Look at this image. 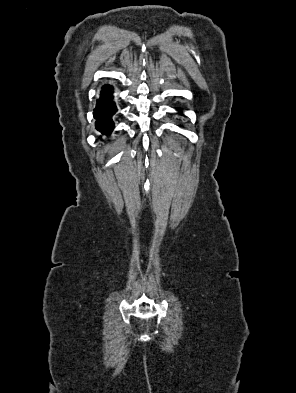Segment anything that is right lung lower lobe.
Segmentation results:
<instances>
[{
	"instance_id": "1",
	"label": "right lung lower lobe",
	"mask_w": 296,
	"mask_h": 393,
	"mask_svg": "<svg viewBox=\"0 0 296 393\" xmlns=\"http://www.w3.org/2000/svg\"><path fill=\"white\" fill-rule=\"evenodd\" d=\"M112 94V87L105 85L101 91L100 98L97 100L96 108L94 109L96 129L104 135L110 134L114 128L112 115L117 111V108L113 102Z\"/></svg>"
}]
</instances>
